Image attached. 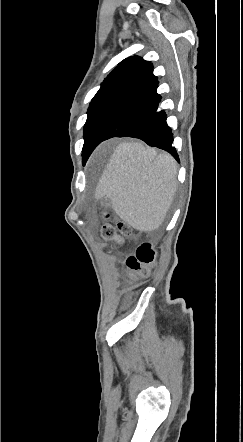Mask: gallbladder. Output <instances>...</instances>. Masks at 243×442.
I'll list each match as a JSON object with an SVG mask.
<instances>
[{
	"label": "gallbladder",
	"instance_id": "1",
	"mask_svg": "<svg viewBox=\"0 0 243 442\" xmlns=\"http://www.w3.org/2000/svg\"><path fill=\"white\" fill-rule=\"evenodd\" d=\"M102 204L105 207H111V200L105 197V198L102 199Z\"/></svg>",
	"mask_w": 243,
	"mask_h": 442
}]
</instances>
